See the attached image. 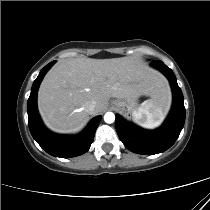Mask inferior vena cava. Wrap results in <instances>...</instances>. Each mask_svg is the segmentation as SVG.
Listing matches in <instances>:
<instances>
[{"instance_id":"obj_1","label":"inferior vena cava","mask_w":210,"mask_h":210,"mask_svg":"<svg viewBox=\"0 0 210 210\" xmlns=\"http://www.w3.org/2000/svg\"><path fill=\"white\" fill-rule=\"evenodd\" d=\"M96 108V102L95 101H91L88 103L87 105V109L90 113H92Z\"/></svg>"}]
</instances>
